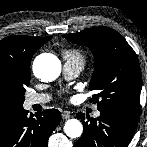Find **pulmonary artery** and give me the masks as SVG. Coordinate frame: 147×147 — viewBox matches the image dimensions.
<instances>
[{
	"instance_id": "obj_1",
	"label": "pulmonary artery",
	"mask_w": 147,
	"mask_h": 147,
	"mask_svg": "<svg viewBox=\"0 0 147 147\" xmlns=\"http://www.w3.org/2000/svg\"><path fill=\"white\" fill-rule=\"evenodd\" d=\"M83 68V63L79 61H72V60H66L63 71L64 75L67 79H73L78 76V74L81 72ZM50 100V96L48 94H32L27 97L25 101V105L27 108H31L33 105L36 104H44L47 103ZM95 117L100 116V112L96 111L94 113Z\"/></svg>"
}]
</instances>
